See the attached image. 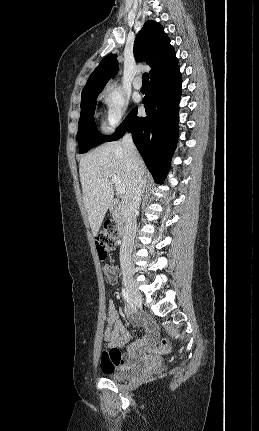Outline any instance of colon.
<instances>
[{
	"label": "colon",
	"instance_id": "1",
	"mask_svg": "<svg viewBox=\"0 0 259 431\" xmlns=\"http://www.w3.org/2000/svg\"><path fill=\"white\" fill-rule=\"evenodd\" d=\"M118 242V231L113 222H106L96 236V249L101 260H106L114 251ZM104 275L109 283H116L119 277V269L115 265L104 266ZM169 347L167 340H163L159 351H165Z\"/></svg>",
	"mask_w": 259,
	"mask_h": 431
}]
</instances>
